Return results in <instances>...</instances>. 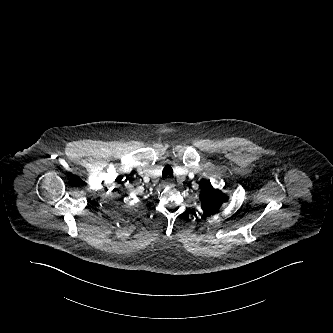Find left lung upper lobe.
I'll return each mask as SVG.
<instances>
[{
    "label": "left lung upper lobe",
    "mask_w": 333,
    "mask_h": 333,
    "mask_svg": "<svg viewBox=\"0 0 333 333\" xmlns=\"http://www.w3.org/2000/svg\"><path fill=\"white\" fill-rule=\"evenodd\" d=\"M201 201V208L204 214H213L219 210L227 196L220 190L214 189L212 185L207 182L201 187L199 194Z\"/></svg>",
    "instance_id": "5c2ea615"
}]
</instances>
